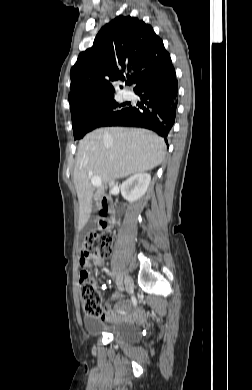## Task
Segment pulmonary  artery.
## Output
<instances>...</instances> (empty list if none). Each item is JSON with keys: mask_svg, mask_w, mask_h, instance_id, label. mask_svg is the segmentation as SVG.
I'll list each match as a JSON object with an SVG mask.
<instances>
[{"mask_svg": "<svg viewBox=\"0 0 252 390\" xmlns=\"http://www.w3.org/2000/svg\"><path fill=\"white\" fill-rule=\"evenodd\" d=\"M124 96H125V98L128 99V100H133V99L135 98V94H134V92L131 91V90L125 91Z\"/></svg>", "mask_w": 252, "mask_h": 390, "instance_id": "1", "label": "pulmonary artery"}]
</instances>
